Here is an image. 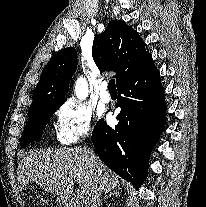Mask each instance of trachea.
Instances as JSON below:
<instances>
[{"instance_id":"3493384b","label":"trachea","mask_w":206,"mask_h":207,"mask_svg":"<svg viewBox=\"0 0 206 207\" xmlns=\"http://www.w3.org/2000/svg\"><path fill=\"white\" fill-rule=\"evenodd\" d=\"M108 90L109 91H117L114 79L109 81V83H108Z\"/></svg>"}]
</instances>
